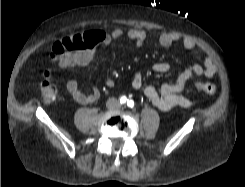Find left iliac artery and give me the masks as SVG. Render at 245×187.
<instances>
[{
  "mask_svg": "<svg viewBox=\"0 0 245 187\" xmlns=\"http://www.w3.org/2000/svg\"><path fill=\"white\" fill-rule=\"evenodd\" d=\"M127 106L130 107V108H133L134 107V101L133 100H128L127 101Z\"/></svg>",
  "mask_w": 245,
  "mask_h": 187,
  "instance_id": "44dca946",
  "label": "left iliac artery"
}]
</instances>
